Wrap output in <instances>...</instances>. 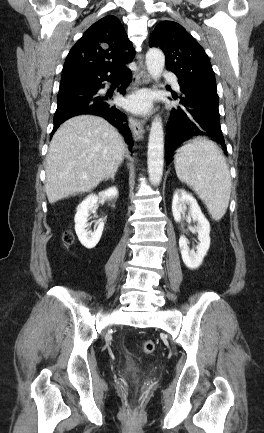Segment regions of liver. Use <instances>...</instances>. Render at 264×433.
Segmentation results:
<instances>
[{
	"label": "liver",
	"mask_w": 264,
	"mask_h": 433,
	"mask_svg": "<svg viewBox=\"0 0 264 433\" xmlns=\"http://www.w3.org/2000/svg\"><path fill=\"white\" fill-rule=\"evenodd\" d=\"M125 153L121 135L103 118L82 115L67 120L55 132L47 154L49 203L91 191L117 171Z\"/></svg>",
	"instance_id": "obj_1"
}]
</instances>
